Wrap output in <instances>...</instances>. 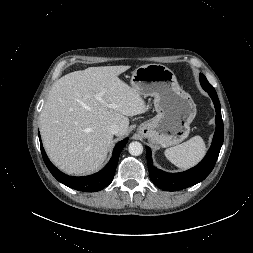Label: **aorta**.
Segmentation results:
<instances>
[{
	"mask_svg": "<svg viewBox=\"0 0 253 253\" xmlns=\"http://www.w3.org/2000/svg\"><path fill=\"white\" fill-rule=\"evenodd\" d=\"M129 153L133 156H139L143 152V146L140 142L134 141L129 144Z\"/></svg>",
	"mask_w": 253,
	"mask_h": 253,
	"instance_id": "1",
	"label": "aorta"
}]
</instances>
